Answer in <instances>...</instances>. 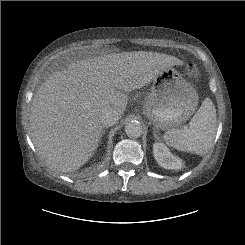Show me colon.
Here are the masks:
<instances>
[{"label":"colon","mask_w":245,"mask_h":245,"mask_svg":"<svg viewBox=\"0 0 245 245\" xmlns=\"http://www.w3.org/2000/svg\"><path fill=\"white\" fill-rule=\"evenodd\" d=\"M186 75L190 79H196L199 75L198 67L194 63H189L186 67Z\"/></svg>","instance_id":"5ec220e1"}]
</instances>
